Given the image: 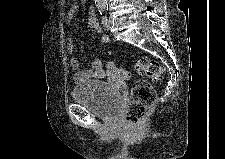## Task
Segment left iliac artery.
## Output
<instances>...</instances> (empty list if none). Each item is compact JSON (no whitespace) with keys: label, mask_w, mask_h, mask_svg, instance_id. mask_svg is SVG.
Masks as SVG:
<instances>
[{"label":"left iliac artery","mask_w":225,"mask_h":159,"mask_svg":"<svg viewBox=\"0 0 225 159\" xmlns=\"http://www.w3.org/2000/svg\"><path fill=\"white\" fill-rule=\"evenodd\" d=\"M107 10H108V8H106V7H99L98 8L99 13L102 15L101 22H102V25L104 27H106L107 24H108V18H107V15H106Z\"/></svg>","instance_id":"left-iliac-artery-1"}]
</instances>
